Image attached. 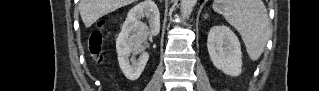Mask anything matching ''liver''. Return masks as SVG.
<instances>
[{
	"mask_svg": "<svg viewBox=\"0 0 319 91\" xmlns=\"http://www.w3.org/2000/svg\"><path fill=\"white\" fill-rule=\"evenodd\" d=\"M135 0H80L79 11L84 25L89 28L101 17L133 3Z\"/></svg>",
	"mask_w": 319,
	"mask_h": 91,
	"instance_id": "obj_1",
	"label": "liver"
}]
</instances>
